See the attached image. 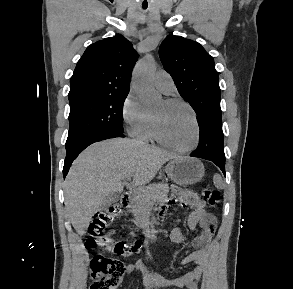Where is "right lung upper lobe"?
<instances>
[{
	"mask_svg": "<svg viewBox=\"0 0 293 289\" xmlns=\"http://www.w3.org/2000/svg\"><path fill=\"white\" fill-rule=\"evenodd\" d=\"M136 60L132 44L120 34L91 44L70 79L69 101L128 94Z\"/></svg>",
	"mask_w": 293,
	"mask_h": 289,
	"instance_id": "right-lung-upper-lobe-1",
	"label": "right lung upper lobe"
}]
</instances>
